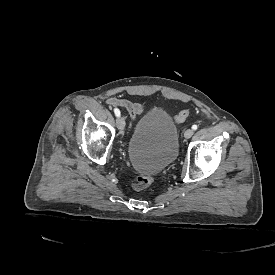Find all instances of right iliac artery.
<instances>
[{
	"instance_id": "1",
	"label": "right iliac artery",
	"mask_w": 275,
	"mask_h": 275,
	"mask_svg": "<svg viewBox=\"0 0 275 275\" xmlns=\"http://www.w3.org/2000/svg\"><path fill=\"white\" fill-rule=\"evenodd\" d=\"M114 113H115V115H116L117 117L120 116V111H119V109L115 108V109H114Z\"/></svg>"
}]
</instances>
